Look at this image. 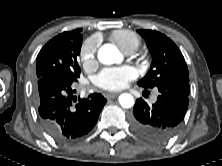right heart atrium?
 Segmentation results:
<instances>
[{
    "mask_svg": "<svg viewBox=\"0 0 222 166\" xmlns=\"http://www.w3.org/2000/svg\"><path fill=\"white\" fill-rule=\"evenodd\" d=\"M97 44L95 40L86 41L80 49V61L84 67H90L95 63Z\"/></svg>",
    "mask_w": 222,
    "mask_h": 166,
    "instance_id": "obj_1",
    "label": "right heart atrium"
}]
</instances>
